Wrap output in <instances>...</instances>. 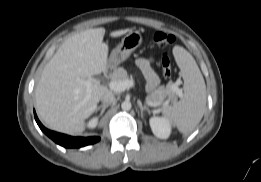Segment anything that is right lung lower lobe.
Here are the masks:
<instances>
[{"label":"right lung lower lobe","instance_id":"98d812e1","mask_svg":"<svg viewBox=\"0 0 261 182\" xmlns=\"http://www.w3.org/2000/svg\"><path fill=\"white\" fill-rule=\"evenodd\" d=\"M34 116L37 124L39 125L40 129L48 136L50 137L53 141H55L57 144L65 147V148H80L84 147L86 145H90L93 143H96L100 140L99 137H71L65 134L57 133L54 131H50L46 129L41 122L39 121L35 111H34Z\"/></svg>","mask_w":261,"mask_h":182}]
</instances>
